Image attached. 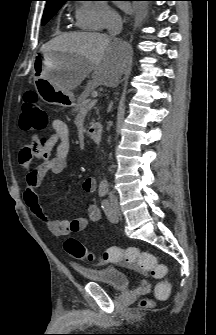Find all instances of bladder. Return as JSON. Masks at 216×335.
Masks as SVG:
<instances>
[{"mask_svg": "<svg viewBox=\"0 0 216 335\" xmlns=\"http://www.w3.org/2000/svg\"><path fill=\"white\" fill-rule=\"evenodd\" d=\"M75 271L87 280L101 283L110 289H127L130 284L128 273L114 267H76Z\"/></svg>", "mask_w": 216, "mask_h": 335, "instance_id": "31cf9c89", "label": "bladder"}]
</instances>
